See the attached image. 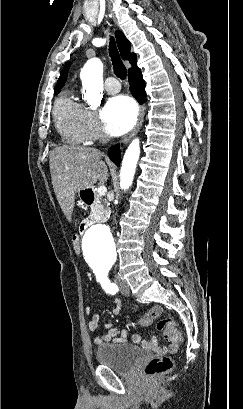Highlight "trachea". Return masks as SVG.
Returning a JSON list of instances; mask_svg holds the SVG:
<instances>
[{"mask_svg": "<svg viewBox=\"0 0 243 409\" xmlns=\"http://www.w3.org/2000/svg\"><path fill=\"white\" fill-rule=\"evenodd\" d=\"M109 54L111 57V61L113 64L114 73L116 76L122 80L126 79L127 77V70L125 65L123 64L119 52L116 47V43L113 37L110 38L109 43Z\"/></svg>", "mask_w": 243, "mask_h": 409, "instance_id": "trachea-1", "label": "trachea"}]
</instances>
